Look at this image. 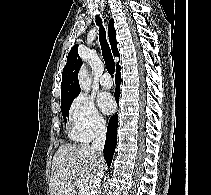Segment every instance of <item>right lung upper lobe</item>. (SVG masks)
<instances>
[{"mask_svg":"<svg viewBox=\"0 0 211 195\" xmlns=\"http://www.w3.org/2000/svg\"><path fill=\"white\" fill-rule=\"evenodd\" d=\"M108 36L113 54L120 57L117 50L116 30L114 29L113 19H110L109 21ZM81 65L82 60L78 55V45H75L70 50L67 57V63L63 69L61 82V103L73 100L80 92L78 72ZM119 67V63H117L116 69Z\"/></svg>","mask_w":211,"mask_h":195,"instance_id":"1","label":"right lung upper lobe"}]
</instances>
